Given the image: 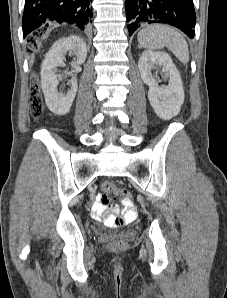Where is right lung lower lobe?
Masks as SVG:
<instances>
[{
	"mask_svg": "<svg viewBox=\"0 0 227 298\" xmlns=\"http://www.w3.org/2000/svg\"><path fill=\"white\" fill-rule=\"evenodd\" d=\"M92 0H25L23 37L33 30L57 23L73 24L84 30L92 18Z\"/></svg>",
	"mask_w": 227,
	"mask_h": 298,
	"instance_id": "98d812e1",
	"label": "right lung lower lobe"
}]
</instances>
